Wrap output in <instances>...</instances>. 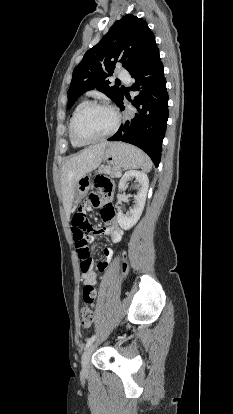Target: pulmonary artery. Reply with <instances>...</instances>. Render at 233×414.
Listing matches in <instances>:
<instances>
[{
	"label": "pulmonary artery",
	"instance_id": "1",
	"mask_svg": "<svg viewBox=\"0 0 233 414\" xmlns=\"http://www.w3.org/2000/svg\"><path fill=\"white\" fill-rule=\"evenodd\" d=\"M118 77L120 79H122L123 81H125V82H129L130 81V76H129V74L126 71H120L118 73Z\"/></svg>",
	"mask_w": 233,
	"mask_h": 414
}]
</instances>
